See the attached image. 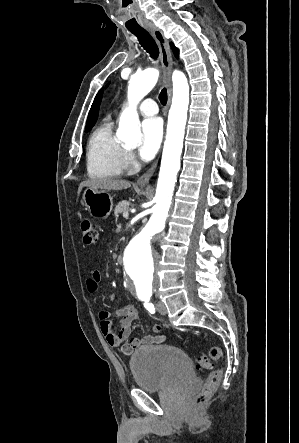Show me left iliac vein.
I'll return each instance as SVG.
<instances>
[{"label": "left iliac vein", "instance_id": "obj_1", "mask_svg": "<svg viewBox=\"0 0 299 443\" xmlns=\"http://www.w3.org/2000/svg\"><path fill=\"white\" fill-rule=\"evenodd\" d=\"M157 310L161 315H166L167 314V309L166 306L164 305V303L162 302H158L157 304Z\"/></svg>", "mask_w": 299, "mask_h": 443}]
</instances>
